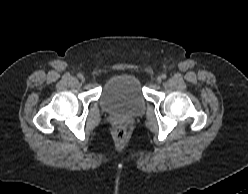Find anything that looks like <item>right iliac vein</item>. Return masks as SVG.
Wrapping results in <instances>:
<instances>
[{"label":"right iliac vein","instance_id":"right-iliac-vein-1","mask_svg":"<svg viewBox=\"0 0 248 194\" xmlns=\"http://www.w3.org/2000/svg\"><path fill=\"white\" fill-rule=\"evenodd\" d=\"M81 80H82V81H85V78L82 76V77H81Z\"/></svg>","mask_w":248,"mask_h":194}]
</instances>
